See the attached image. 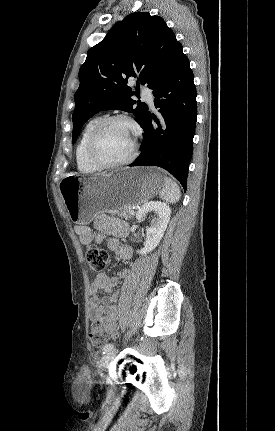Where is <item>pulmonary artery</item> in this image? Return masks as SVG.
<instances>
[{"label": "pulmonary artery", "mask_w": 275, "mask_h": 431, "mask_svg": "<svg viewBox=\"0 0 275 431\" xmlns=\"http://www.w3.org/2000/svg\"><path fill=\"white\" fill-rule=\"evenodd\" d=\"M142 95L144 100L153 108L154 107L153 95L151 94L150 90L147 88H144L142 90Z\"/></svg>", "instance_id": "e3ab8cb5"}]
</instances>
